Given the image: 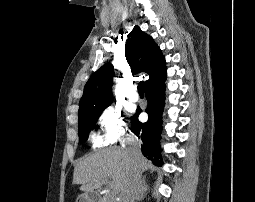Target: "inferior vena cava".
Returning <instances> with one entry per match:
<instances>
[{
    "instance_id": "1",
    "label": "inferior vena cava",
    "mask_w": 255,
    "mask_h": 202,
    "mask_svg": "<svg viewBox=\"0 0 255 202\" xmlns=\"http://www.w3.org/2000/svg\"><path fill=\"white\" fill-rule=\"evenodd\" d=\"M127 151L133 161L134 167L131 171L130 179L120 193V202H135L143 196V181L141 171L138 167V160L141 156V142L134 136L127 137Z\"/></svg>"
}]
</instances>
